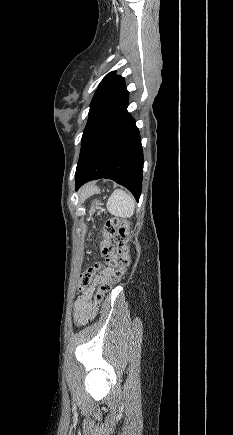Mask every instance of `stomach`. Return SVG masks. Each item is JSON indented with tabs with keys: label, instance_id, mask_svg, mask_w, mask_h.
I'll use <instances>...</instances> for the list:
<instances>
[{
	"label": "stomach",
	"instance_id": "stomach-1",
	"mask_svg": "<svg viewBox=\"0 0 233 435\" xmlns=\"http://www.w3.org/2000/svg\"><path fill=\"white\" fill-rule=\"evenodd\" d=\"M100 205H101V202H100V201H97V200L93 201L92 206H91V209H90V213L92 214V213H94L96 210L100 209Z\"/></svg>",
	"mask_w": 233,
	"mask_h": 435
}]
</instances>
